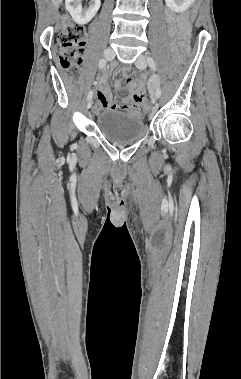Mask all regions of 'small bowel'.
<instances>
[{"label":"small bowel","instance_id":"c3829d8e","mask_svg":"<svg viewBox=\"0 0 241 379\" xmlns=\"http://www.w3.org/2000/svg\"><path fill=\"white\" fill-rule=\"evenodd\" d=\"M167 20L169 24V29L172 34H176V45L180 53L184 51L182 44V37L188 30V24L184 15H175L173 12H167ZM115 88L120 92H124L122 95L123 104L120 106L114 105L112 103V94L109 87L106 76H102L97 82V95L102 102L103 107L108 109L121 108L130 112L140 113L141 109L144 107V85L142 81L131 82L128 87L122 84V81H115ZM145 115V112H142Z\"/></svg>","mask_w":241,"mask_h":379}]
</instances>
